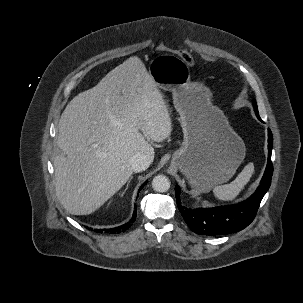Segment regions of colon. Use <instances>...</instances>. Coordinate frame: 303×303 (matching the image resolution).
<instances>
[{"label":"colon","instance_id":"obj_1","mask_svg":"<svg viewBox=\"0 0 303 303\" xmlns=\"http://www.w3.org/2000/svg\"><path fill=\"white\" fill-rule=\"evenodd\" d=\"M156 49L159 52H174L178 57H180L189 66H193L194 65V59L192 58V56L187 51H184V50H173V49H171L169 46H167L164 43H160L157 46Z\"/></svg>","mask_w":303,"mask_h":303}]
</instances>
